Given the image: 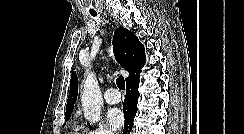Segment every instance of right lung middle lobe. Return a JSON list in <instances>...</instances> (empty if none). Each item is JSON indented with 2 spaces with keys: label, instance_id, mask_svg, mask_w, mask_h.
<instances>
[{
  "label": "right lung middle lobe",
  "instance_id": "1",
  "mask_svg": "<svg viewBox=\"0 0 244 134\" xmlns=\"http://www.w3.org/2000/svg\"><path fill=\"white\" fill-rule=\"evenodd\" d=\"M71 115H65V122L68 121Z\"/></svg>",
  "mask_w": 244,
  "mask_h": 134
}]
</instances>
